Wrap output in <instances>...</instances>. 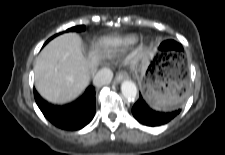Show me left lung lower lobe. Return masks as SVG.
I'll list each match as a JSON object with an SVG mask.
<instances>
[{"label":"left lung lower lobe","mask_w":225,"mask_h":155,"mask_svg":"<svg viewBox=\"0 0 225 155\" xmlns=\"http://www.w3.org/2000/svg\"><path fill=\"white\" fill-rule=\"evenodd\" d=\"M132 113L135 119L143 125L155 127L171 121L180 113V109L171 113L157 112L151 109L143 100L142 96H140L132 108Z\"/></svg>","instance_id":"1"}]
</instances>
